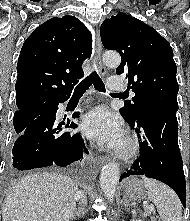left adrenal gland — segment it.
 Returning a JSON list of instances; mask_svg holds the SVG:
<instances>
[{
  "mask_svg": "<svg viewBox=\"0 0 190 221\" xmlns=\"http://www.w3.org/2000/svg\"><path fill=\"white\" fill-rule=\"evenodd\" d=\"M123 200H124V205L125 206L131 207V204H130V202H129V200H128V198L126 196H124Z\"/></svg>",
  "mask_w": 190,
  "mask_h": 221,
  "instance_id": "obj_1",
  "label": "left adrenal gland"
}]
</instances>
